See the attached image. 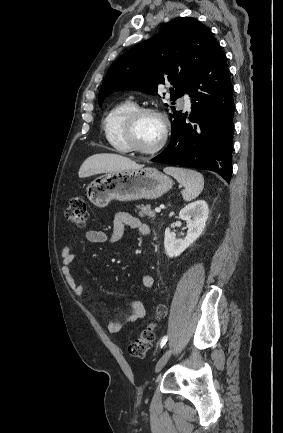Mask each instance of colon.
Returning a JSON list of instances; mask_svg holds the SVG:
<instances>
[{
    "label": "colon",
    "mask_w": 283,
    "mask_h": 433,
    "mask_svg": "<svg viewBox=\"0 0 283 433\" xmlns=\"http://www.w3.org/2000/svg\"><path fill=\"white\" fill-rule=\"evenodd\" d=\"M65 219L68 223L84 228L88 221V211L86 200L81 195H75L71 198L69 206L65 212ZM166 313V308L163 304H158L155 310L156 318L163 317ZM154 322L148 324L135 340L129 345V353L134 357H143L150 350L155 338Z\"/></svg>",
    "instance_id": "5ec220e1"
}]
</instances>
